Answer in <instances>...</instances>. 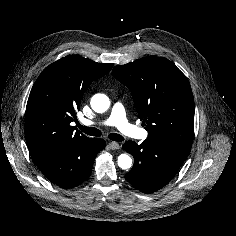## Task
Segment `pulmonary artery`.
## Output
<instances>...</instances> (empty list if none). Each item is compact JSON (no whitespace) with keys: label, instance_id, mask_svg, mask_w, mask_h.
<instances>
[{"label":"pulmonary artery","instance_id":"pulmonary-artery-1","mask_svg":"<svg viewBox=\"0 0 236 236\" xmlns=\"http://www.w3.org/2000/svg\"><path fill=\"white\" fill-rule=\"evenodd\" d=\"M83 124L88 127H94L97 123L86 120L83 122ZM102 124L107 126H115L123 134L133 138L146 139L148 136L146 130L139 128L128 121L125 108L120 102H116L113 105L108 118Z\"/></svg>","mask_w":236,"mask_h":236}]
</instances>
